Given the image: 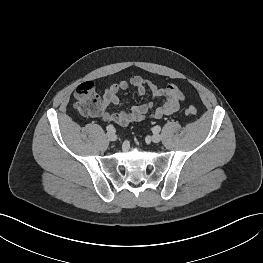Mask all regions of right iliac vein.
<instances>
[{
  "label": "right iliac vein",
  "instance_id": "63e3f726",
  "mask_svg": "<svg viewBox=\"0 0 263 263\" xmlns=\"http://www.w3.org/2000/svg\"><path fill=\"white\" fill-rule=\"evenodd\" d=\"M107 138L110 141H116L117 140V136L114 132H108L107 133Z\"/></svg>",
  "mask_w": 263,
  "mask_h": 263
}]
</instances>
